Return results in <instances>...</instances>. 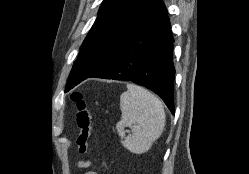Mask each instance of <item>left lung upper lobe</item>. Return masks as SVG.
I'll return each instance as SVG.
<instances>
[{
    "instance_id": "1",
    "label": "left lung upper lobe",
    "mask_w": 249,
    "mask_h": 174,
    "mask_svg": "<svg viewBox=\"0 0 249 174\" xmlns=\"http://www.w3.org/2000/svg\"><path fill=\"white\" fill-rule=\"evenodd\" d=\"M164 7L161 0H103L70 72L65 92L76 79L104 67Z\"/></svg>"
}]
</instances>
